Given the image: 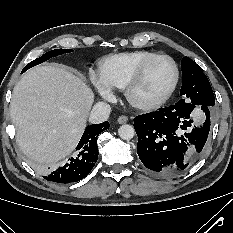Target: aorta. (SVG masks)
I'll use <instances>...</instances> for the list:
<instances>
[{
  "label": "aorta",
  "instance_id": "1",
  "mask_svg": "<svg viewBox=\"0 0 233 233\" xmlns=\"http://www.w3.org/2000/svg\"><path fill=\"white\" fill-rule=\"evenodd\" d=\"M118 134H119L120 138H122L124 140H131L135 135V130H134L133 126H131L129 124H124V125L119 127Z\"/></svg>",
  "mask_w": 233,
  "mask_h": 233
}]
</instances>
